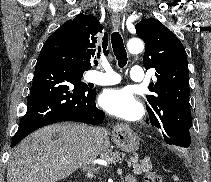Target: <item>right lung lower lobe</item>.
I'll list each match as a JSON object with an SVG mask.
<instances>
[{
	"instance_id": "1",
	"label": "right lung lower lobe",
	"mask_w": 211,
	"mask_h": 182,
	"mask_svg": "<svg viewBox=\"0 0 211 182\" xmlns=\"http://www.w3.org/2000/svg\"><path fill=\"white\" fill-rule=\"evenodd\" d=\"M84 71L74 38L60 27L46 40L40 52L27 112L11 147L31 132L52 123H102L105 113L96 107V90L80 81Z\"/></svg>"
}]
</instances>
